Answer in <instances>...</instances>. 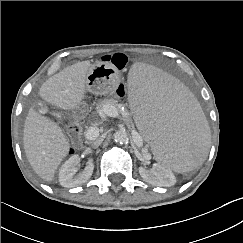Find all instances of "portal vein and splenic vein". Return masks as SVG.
I'll return each instance as SVG.
<instances>
[{
  "label": "portal vein and splenic vein",
  "instance_id": "18ae733b",
  "mask_svg": "<svg viewBox=\"0 0 243 243\" xmlns=\"http://www.w3.org/2000/svg\"><path fill=\"white\" fill-rule=\"evenodd\" d=\"M105 114L107 116L114 117V118L119 117V112L117 111V109L111 106L105 107ZM97 134H98V130L95 127H91L87 130L85 136L87 139H91Z\"/></svg>",
  "mask_w": 243,
  "mask_h": 243
}]
</instances>
